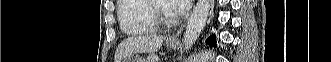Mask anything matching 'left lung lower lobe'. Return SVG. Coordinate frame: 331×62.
<instances>
[{"mask_svg": "<svg viewBox=\"0 0 331 62\" xmlns=\"http://www.w3.org/2000/svg\"><path fill=\"white\" fill-rule=\"evenodd\" d=\"M207 43L212 45V46H215V37L212 35L210 36L208 39H207Z\"/></svg>", "mask_w": 331, "mask_h": 62, "instance_id": "obj_1", "label": "left lung lower lobe"}]
</instances>
